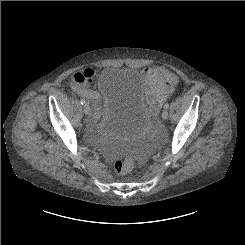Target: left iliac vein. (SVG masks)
I'll return each mask as SVG.
<instances>
[{
  "instance_id": "4c4485c4",
  "label": "left iliac vein",
  "mask_w": 245,
  "mask_h": 245,
  "mask_svg": "<svg viewBox=\"0 0 245 245\" xmlns=\"http://www.w3.org/2000/svg\"><path fill=\"white\" fill-rule=\"evenodd\" d=\"M168 116H169L168 111L166 109L163 110L162 115H161L162 119L166 120L168 119Z\"/></svg>"
}]
</instances>
